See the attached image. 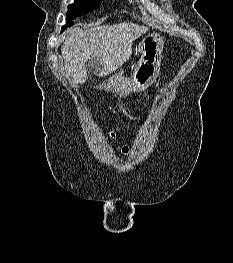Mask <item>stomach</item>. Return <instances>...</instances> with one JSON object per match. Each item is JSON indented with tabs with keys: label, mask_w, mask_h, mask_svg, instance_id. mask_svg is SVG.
<instances>
[{
	"label": "stomach",
	"mask_w": 233,
	"mask_h": 263,
	"mask_svg": "<svg viewBox=\"0 0 233 263\" xmlns=\"http://www.w3.org/2000/svg\"><path fill=\"white\" fill-rule=\"evenodd\" d=\"M164 41L159 34H149L140 42L141 59L132 77H107V91H138L147 88L159 75Z\"/></svg>",
	"instance_id": "0dacf381"
}]
</instances>
